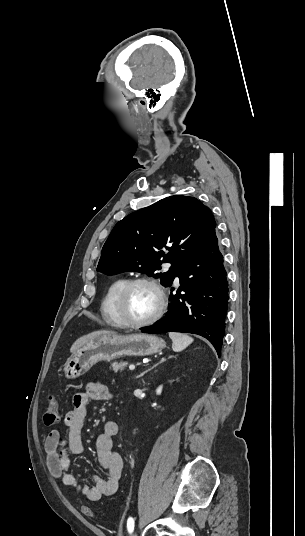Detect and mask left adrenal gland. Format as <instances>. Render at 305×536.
Instances as JSON below:
<instances>
[{"label":"left adrenal gland","mask_w":305,"mask_h":536,"mask_svg":"<svg viewBox=\"0 0 305 536\" xmlns=\"http://www.w3.org/2000/svg\"><path fill=\"white\" fill-rule=\"evenodd\" d=\"M162 362H166L165 358H161L159 364H162ZM156 366H158V364H155V366H152L150 370H153V368H156ZM150 370H146V372H142V374H140V376H137V378H141V376H144V374H147V372H150Z\"/></svg>","instance_id":"left-adrenal-gland-1"}]
</instances>
